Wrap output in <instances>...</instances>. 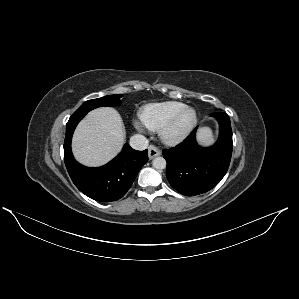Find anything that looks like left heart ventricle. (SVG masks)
Wrapping results in <instances>:
<instances>
[{"label":"left heart ventricle","instance_id":"obj_1","mask_svg":"<svg viewBox=\"0 0 299 299\" xmlns=\"http://www.w3.org/2000/svg\"><path fill=\"white\" fill-rule=\"evenodd\" d=\"M193 118V113L192 112H187L185 113L180 122H179V127H185L187 124L190 123V121L192 120Z\"/></svg>","mask_w":299,"mask_h":299}]
</instances>
